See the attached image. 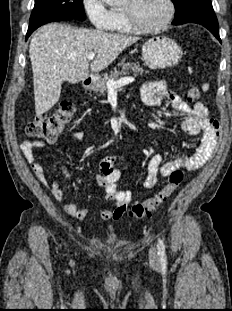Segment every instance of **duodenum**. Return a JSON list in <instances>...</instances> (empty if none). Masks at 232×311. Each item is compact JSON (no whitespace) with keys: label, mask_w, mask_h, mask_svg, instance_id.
<instances>
[{"label":"duodenum","mask_w":232,"mask_h":311,"mask_svg":"<svg viewBox=\"0 0 232 311\" xmlns=\"http://www.w3.org/2000/svg\"><path fill=\"white\" fill-rule=\"evenodd\" d=\"M83 85L88 88L91 85V79L90 78H85L83 81Z\"/></svg>","instance_id":"duodenum-1"}]
</instances>
